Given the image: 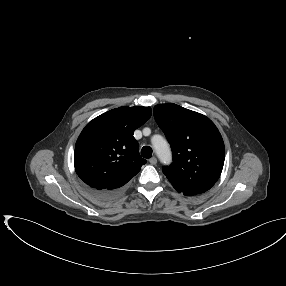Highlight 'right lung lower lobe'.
Returning <instances> with one entry per match:
<instances>
[{"mask_svg": "<svg viewBox=\"0 0 286 286\" xmlns=\"http://www.w3.org/2000/svg\"><path fill=\"white\" fill-rule=\"evenodd\" d=\"M87 189L89 193H91L93 196L100 198V199H108L121 192V191H106V190L100 191V190H96L90 187H87Z\"/></svg>", "mask_w": 286, "mask_h": 286, "instance_id": "right-lung-lower-lobe-1", "label": "right lung lower lobe"}]
</instances>
